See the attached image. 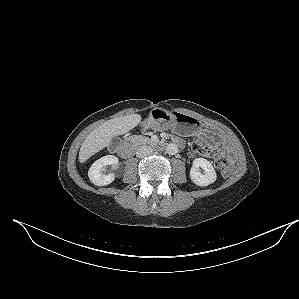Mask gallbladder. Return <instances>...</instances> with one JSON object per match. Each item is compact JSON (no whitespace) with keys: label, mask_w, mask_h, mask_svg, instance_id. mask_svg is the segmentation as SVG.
I'll return each instance as SVG.
<instances>
[{"label":"gallbladder","mask_w":299,"mask_h":299,"mask_svg":"<svg viewBox=\"0 0 299 299\" xmlns=\"http://www.w3.org/2000/svg\"><path fill=\"white\" fill-rule=\"evenodd\" d=\"M120 139L118 137H113L112 138V143H119Z\"/></svg>","instance_id":"obj_1"}]
</instances>
